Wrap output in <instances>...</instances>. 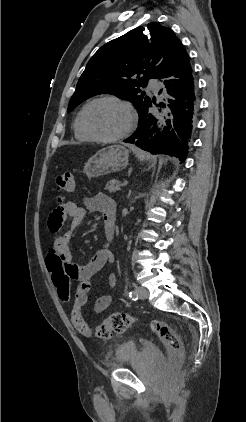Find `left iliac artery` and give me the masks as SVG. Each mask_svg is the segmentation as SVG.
<instances>
[{
	"mask_svg": "<svg viewBox=\"0 0 246 422\" xmlns=\"http://www.w3.org/2000/svg\"><path fill=\"white\" fill-rule=\"evenodd\" d=\"M129 297H130L132 300H137V299H138V296H137V294H136V292H135V291H130V292H129Z\"/></svg>",
	"mask_w": 246,
	"mask_h": 422,
	"instance_id": "44dca946",
	"label": "left iliac artery"
}]
</instances>
